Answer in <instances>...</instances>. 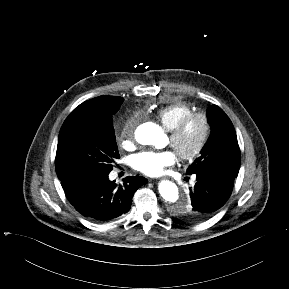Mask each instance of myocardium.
I'll use <instances>...</instances> for the list:
<instances>
[{"instance_id": "f54148a6", "label": "myocardium", "mask_w": 289, "mask_h": 289, "mask_svg": "<svg viewBox=\"0 0 289 289\" xmlns=\"http://www.w3.org/2000/svg\"><path fill=\"white\" fill-rule=\"evenodd\" d=\"M194 119H200L202 122V135L198 142V144L195 146L194 149H192L189 152H180L176 151L179 157L183 160H193L197 158L205 149L207 142L209 140V136L211 133V124L208 116L205 113L202 112H192L186 116H184L175 126L173 129L170 130V140L171 145L173 148L175 147L176 142L180 138L181 134L183 133L186 126Z\"/></svg>"}]
</instances>
